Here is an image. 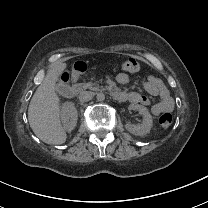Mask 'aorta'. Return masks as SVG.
<instances>
[{
	"label": "aorta",
	"mask_w": 208,
	"mask_h": 208,
	"mask_svg": "<svg viewBox=\"0 0 208 208\" xmlns=\"http://www.w3.org/2000/svg\"><path fill=\"white\" fill-rule=\"evenodd\" d=\"M96 99H97L98 102L103 103V102L106 101L107 96H106L105 93L100 92V93L97 94Z\"/></svg>",
	"instance_id": "aorta-1"
}]
</instances>
